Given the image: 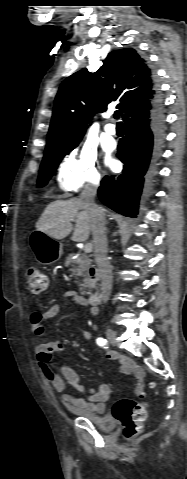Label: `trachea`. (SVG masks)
Returning a JSON list of instances; mask_svg holds the SVG:
<instances>
[{"label": "trachea", "mask_w": 187, "mask_h": 479, "mask_svg": "<svg viewBox=\"0 0 187 479\" xmlns=\"http://www.w3.org/2000/svg\"><path fill=\"white\" fill-rule=\"evenodd\" d=\"M119 117H120V112H119V111H116V112L114 113V118H115V119H119ZM118 124H122V123L119 122Z\"/></svg>", "instance_id": "trachea-1"}]
</instances>
